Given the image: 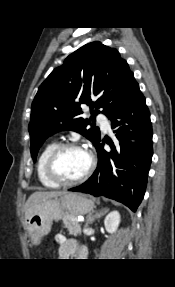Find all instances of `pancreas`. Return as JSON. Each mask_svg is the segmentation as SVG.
I'll return each mask as SVG.
<instances>
[{"mask_svg":"<svg viewBox=\"0 0 175 287\" xmlns=\"http://www.w3.org/2000/svg\"><path fill=\"white\" fill-rule=\"evenodd\" d=\"M63 225L67 228L69 234L77 236L81 234V225L77 221V217L66 213L63 216Z\"/></svg>","mask_w":175,"mask_h":287,"instance_id":"pancreas-1","label":"pancreas"}]
</instances>
